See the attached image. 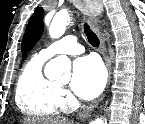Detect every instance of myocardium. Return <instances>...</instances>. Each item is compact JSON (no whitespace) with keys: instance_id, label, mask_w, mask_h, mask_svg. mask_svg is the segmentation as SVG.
I'll use <instances>...</instances> for the list:
<instances>
[{"instance_id":"1","label":"myocardium","mask_w":145,"mask_h":124,"mask_svg":"<svg viewBox=\"0 0 145 124\" xmlns=\"http://www.w3.org/2000/svg\"><path fill=\"white\" fill-rule=\"evenodd\" d=\"M55 85H56L57 87H60V86H61L60 84H57V83H55Z\"/></svg>"}]
</instances>
